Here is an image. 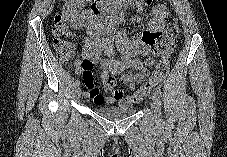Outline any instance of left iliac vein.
<instances>
[{"instance_id":"4c4485c4","label":"left iliac vein","mask_w":227,"mask_h":157,"mask_svg":"<svg viewBox=\"0 0 227 157\" xmlns=\"http://www.w3.org/2000/svg\"><path fill=\"white\" fill-rule=\"evenodd\" d=\"M151 99H152V105H153V108H154V115H155V118L156 119H160V113H161V102H160V99L158 97V95L156 93H153L152 96H151Z\"/></svg>"}]
</instances>
